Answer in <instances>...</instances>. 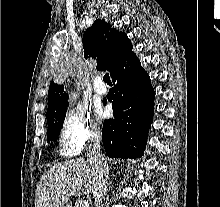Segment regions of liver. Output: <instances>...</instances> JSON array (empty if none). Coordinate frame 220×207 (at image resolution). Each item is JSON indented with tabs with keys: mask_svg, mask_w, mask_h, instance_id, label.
Masks as SVG:
<instances>
[{
	"mask_svg": "<svg viewBox=\"0 0 220 207\" xmlns=\"http://www.w3.org/2000/svg\"><path fill=\"white\" fill-rule=\"evenodd\" d=\"M96 181V169L88 160L76 158L57 164L40 178L35 207H62L74 194L92 193Z\"/></svg>",
	"mask_w": 220,
	"mask_h": 207,
	"instance_id": "obj_1",
	"label": "liver"
}]
</instances>
